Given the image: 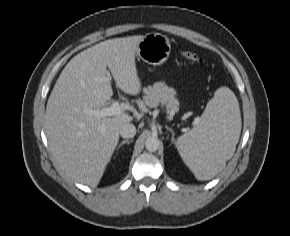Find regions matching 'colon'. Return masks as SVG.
Returning a JSON list of instances; mask_svg holds the SVG:
<instances>
[{
	"instance_id": "5ec220e1",
	"label": "colon",
	"mask_w": 290,
	"mask_h": 236,
	"mask_svg": "<svg viewBox=\"0 0 290 236\" xmlns=\"http://www.w3.org/2000/svg\"><path fill=\"white\" fill-rule=\"evenodd\" d=\"M184 57L188 59L189 61H192L195 63H199V64L203 63V59L193 52H185Z\"/></svg>"
}]
</instances>
